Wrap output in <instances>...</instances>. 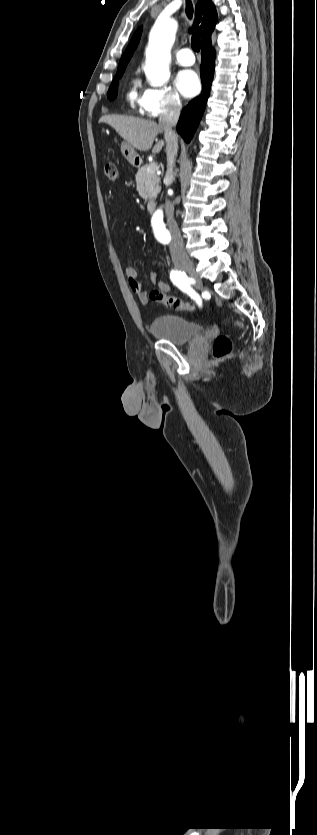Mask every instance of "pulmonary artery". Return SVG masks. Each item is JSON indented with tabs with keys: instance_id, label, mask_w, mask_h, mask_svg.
<instances>
[{
	"instance_id": "1",
	"label": "pulmonary artery",
	"mask_w": 317,
	"mask_h": 835,
	"mask_svg": "<svg viewBox=\"0 0 317 835\" xmlns=\"http://www.w3.org/2000/svg\"><path fill=\"white\" fill-rule=\"evenodd\" d=\"M177 62L182 66H191L195 62L194 55L189 48H182L175 54Z\"/></svg>"
}]
</instances>
